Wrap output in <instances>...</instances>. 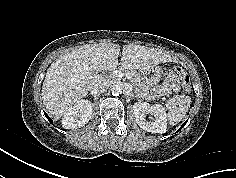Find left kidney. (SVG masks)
Segmentation results:
<instances>
[{
    "mask_svg": "<svg viewBox=\"0 0 236 178\" xmlns=\"http://www.w3.org/2000/svg\"><path fill=\"white\" fill-rule=\"evenodd\" d=\"M133 111L137 124L143 130L151 133H165L167 129V115L165 108L160 104L150 105L146 102H136ZM151 113L155 116V121H147L145 114Z\"/></svg>",
    "mask_w": 236,
    "mask_h": 178,
    "instance_id": "1",
    "label": "left kidney"
}]
</instances>
